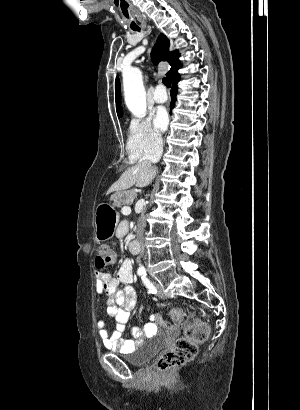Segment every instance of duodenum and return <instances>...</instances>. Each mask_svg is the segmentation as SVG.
Returning <instances> with one entry per match:
<instances>
[{"mask_svg": "<svg viewBox=\"0 0 300 410\" xmlns=\"http://www.w3.org/2000/svg\"><path fill=\"white\" fill-rule=\"evenodd\" d=\"M129 250L131 253L137 254L140 251L137 240H133L129 243Z\"/></svg>", "mask_w": 300, "mask_h": 410, "instance_id": "duodenum-1", "label": "duodenum"}]
</instances>
